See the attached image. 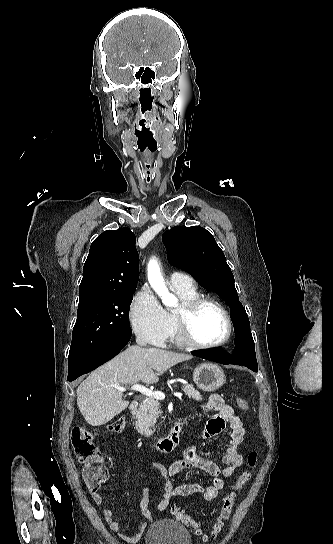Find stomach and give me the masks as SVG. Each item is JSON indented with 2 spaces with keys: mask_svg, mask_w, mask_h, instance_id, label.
Returning <instances> with one entry per match:
<instances>
[{
  "mask_svg": "<svg viewBox=\"0 0 333 544\" xmlns=\"http://www.w3.org/2000/svg\"><path fill=\"white\" fill-rule=\"evenodd\" d=\"M193 380L199 389L213 392L225 383V374L220 366L207 362L194 369Z\"/></svg>",
  "mask_w": 333,
  "mask_h": 544,
  "instance_id": "0dacf381",
  "label": "stomach"
}]
</instances>
